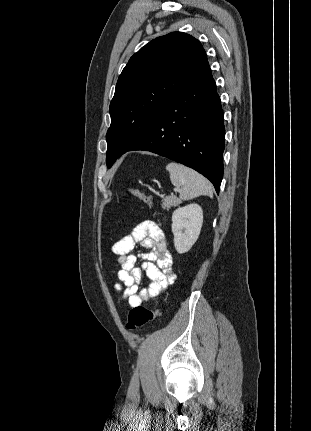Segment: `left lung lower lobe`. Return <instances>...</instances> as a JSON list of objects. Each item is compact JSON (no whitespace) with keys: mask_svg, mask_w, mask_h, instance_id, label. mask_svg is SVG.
<instances>
[{"mask_svg":"<svg viewBox=\"0 0 311 431\" xmlns=\"http://www.w3.org/2000/svg\"><path fill=\"white\" fill-rule=\"evenodd\" d=\"M225 128L207 58L165 105L146 136L128 151L146 150L208 178L217 194L223 177Z\"/></svg>","mask_w":311,"mask_h":431,"instance_id":"obj_1","label":"left lung lower lobe"}]
</instances>
